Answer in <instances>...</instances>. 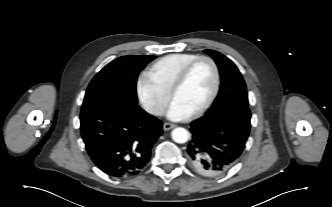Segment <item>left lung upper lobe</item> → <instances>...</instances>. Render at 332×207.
Masks as SVG:
<instances>
[{"label": "left lung upper lobe", "instance_id": "obj_1", "mask_svg": "<svg viewBox=\"0 0 332 207\" xmlns=\"http://www.w3.org/2000/svg\"><path fill=\"white\" fill-rule=\"evenodd\" d=\"M205 52L213 57L221 76L219 94L208 113L232 105L248 106L246 85L236 65L217 51Z\"/></svg>", "mask_w": 332, "mask_h": 207}]
</instances>
